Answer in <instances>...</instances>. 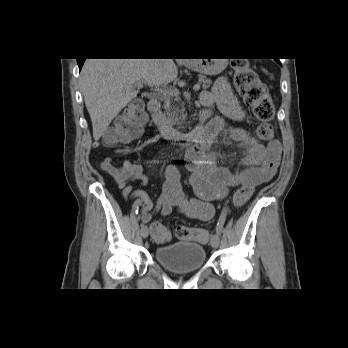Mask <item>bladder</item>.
Masks as SVG:
<instances>
[{
    "label": "bladder",
    "mask_w": 348,
    "mask_h": 348,
    "mask_svg": "<svg viewBox=\"0 0 348 348\" xmlns=\"http://www.w3.org/2000/svg\"><path fill=\"white\" fill-rule=\"evenodd\" d=\"M155 256L161 265L176 274L192 273L206 262L204 246L193 241L161 245L155 249Z\"/></svg>",
    "instance_id": "1"
}]
</instances>
